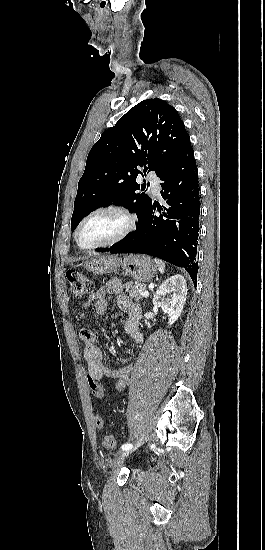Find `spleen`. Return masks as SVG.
I'll return each instance as SVG.
<instances>
[{
  "label": "spleen",
  "instance_id": "3e777b00",
  "mask_svg": "<svg viewBox=\"0 0 265 550\" xmlns=\"http://www.w3.org/2000/svg\"><path fill=\"white\" fill-rule=\"evenodd\" d=\"M155 263L157 264V266H158V268H159V271H160L161 273H164V271H165V262H163V261L160 260V259H156V258H155Z\"/></svg>",
  "mask_w": 265,
  "mask_h": 550
}]
</instances>
